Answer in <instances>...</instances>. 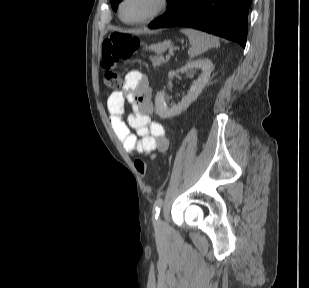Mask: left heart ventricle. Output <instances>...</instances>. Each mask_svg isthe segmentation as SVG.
<instances>
[{
    "instance_id": "b2bd125f",
    "label": "left heart ventricle",
    "mask_w": 309,
    "mask_h": 288,
    "mask_svg": "<svg viewBox=\"0 0 309 288\" xmlns=\"http://www.w3.org/2000/svg\"><path fill=\"white\" fill-rule=\"evenodd\" d=\"M156 7V0H127L123 16L128 21H136L148 16Z\"/></svg>"
}]
</instances>
